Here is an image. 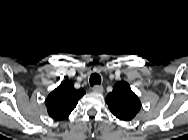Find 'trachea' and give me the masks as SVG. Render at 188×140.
<instances>
[{"label":"trachea","mask_w":188,"mask_h":140,"mask_svg":"<svg viewBox=\"0 0 188 140\" xmlns=\"http://www.w3.org/2000/svg\"><path fill=\"white\" fill-rule=\"evenodd\" d=\"M101 83V77L99 74L97 73H93L90 76V85L93 86L95 84L99 85Z\"/></svg>","instance_id":"3493384b"}]
</instances>
